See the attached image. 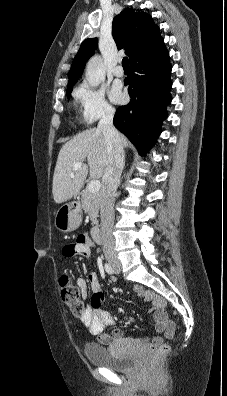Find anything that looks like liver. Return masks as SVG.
Segmentation results:
<instances>
[{
  "mask_svg": "<svg viewBox=\"0 0 227 396\" xmlns=\"http://www.w3.org/2000/svg\"><path fill=\"white\" fill-rule=\"evenodd\" d=\"M122 147L128 146V140L119 133ZM87 158L88 165L84 164ZM109 152L105 137L98 128H90L66 142L57 158L53 176L52 193L58 204L75 198L84 180L89 174L92 178H101L108 164ZM82 166L74 170V164ZM73 175V177L71 176Z\"/></svg>",
  "mask_w": 227,
  "mask_h": 396,
  "instance_id": "6515ba94",
  "label": "liver"
}]
</instances>
